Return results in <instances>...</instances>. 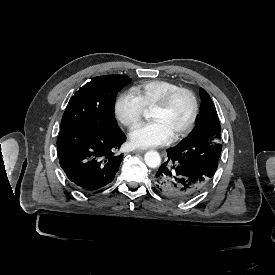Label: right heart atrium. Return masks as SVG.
<instances>
[{
    "instance_id": "obj_1",
    "label": "right heart atrium",
    "mask_w": 275,
    "mask_h": 275,
    "mask_svg": "<svg viewBox=\"0 0 275 275\" xmlns=\"http://www.w3.org/2000/svg\"><path fill=\"white\" fill-rule=\"evenodd\" d=\"M145 110V106L131 91L121 94L115 103L116 115L127 128L135 126L142 118Z\"/></svg>"
}]
</instances>
